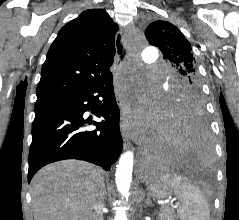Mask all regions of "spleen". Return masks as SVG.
I'll return each mask as SVG.
<instances>
[{
  "instance_id": "3e777b00",
  "label": "spleen",
  "mask_w": 239,
  "mask_h": 220,
  "mask_svg": "<svg viewBox=\"0 0 239 220\" xmlns=\"http://www.w3.org/2000/svg\"><path fill=\"white\" fill-rule=\"evenodd\" d=\"M160 181L168 183L180 200L177 209L180 220H210V210L204 195L184 177L167 173L160 177Z\"/></svg>"
}]
</instances>
